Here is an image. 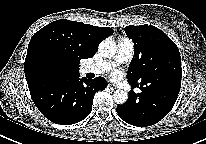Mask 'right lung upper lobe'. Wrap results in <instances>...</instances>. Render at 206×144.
I'll return each mask as SVG.
<instances>
[{
    "instance_id": "obj_1",
    "label": "right lung upper lobe",
    "mask_w": 206,
    "mask_h": 144,
    "mask_svg": "<svg viewBox=\"0 0 206 144\" xmlns=\"http://www.w3.org/2000/svg\"><path fill=\"white\" fill-rule=\"evenodd\" d=\"M108 27H95L66 19L54 21L31 38L24 63L28 86L42 78L78 76L81 59L94 56L101 40L113 34ZM51 59L56 70L44 71L41 63Z\"/></svg>"
}]
</instances>
